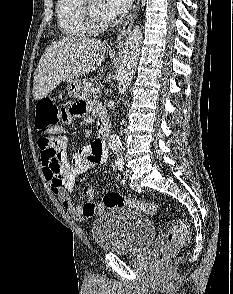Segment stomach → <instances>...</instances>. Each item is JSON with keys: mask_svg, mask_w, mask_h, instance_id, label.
<instances>
[{"mask_svg": "<svg viewBox=\"0 0 233 294\" xmlns=\"http://www.w3.org/2000/svg\"><path fill=\"white\" fill-rule=\"evenodd\" d=\"M82 83L78 78L66 80V91L70 98H79L81 95Z\"/></svg>", "mask_w": 233, "mask_h": 294, "instance_id": "obj_1", "label": "stomach"}]
</instances>
